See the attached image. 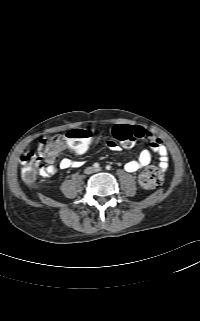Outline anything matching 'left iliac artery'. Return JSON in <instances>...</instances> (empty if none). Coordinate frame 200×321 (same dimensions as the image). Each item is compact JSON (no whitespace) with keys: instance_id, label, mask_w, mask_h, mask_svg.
Wrapping results in <instances>:
<instances>
[{"instance_id":"left-iliac-artery-1","label":"left iliac artery","mask_w":200,"mask_h":321,"mask_svg":"<svg viewBox=\"0 0 200 321\" xmlns=\"http://www.w3.org/2000/svg\"><path fill=\"white\" fill-rule=\"evenodd\" d=\"M106 169H107V170H110V169H111V166H110V165H107V166H106Z\"/></svg>"}]
</instances>
